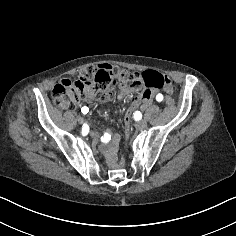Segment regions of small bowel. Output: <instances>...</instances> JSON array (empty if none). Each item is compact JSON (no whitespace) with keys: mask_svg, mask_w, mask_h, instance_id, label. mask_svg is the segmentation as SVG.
<instances>
[{"mask_svg":"<svg viewBox=\"0 0 236 236\" xmlns=\"http://www.w3.org/2000/svg\"><path fill=\"white\" fill-rule=\"evenodd\" d=\"M141 84H121L120 92L118 93V99L122 100L127 98L129 95L134 94L140 90ZM167 88V91H170ZM105 100H111V94L105 95ZM144 107H148L152 103L151 94H149L141 102ZM100 149L105 157L108 166L112 169H120L123 166V160L117 157V148L120 141V135L117 132L106 131L101 135Z\"/></svg>","mask_w":236,"mask_h":236,"instance_id":"obj_1","label":"small bowel"}]
</instances>
